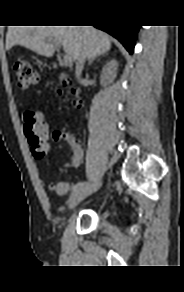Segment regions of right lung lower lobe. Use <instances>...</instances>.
Listing matches in <instances>:
<instances>
[{
    "mask_svg": "<svg viewBox=\"0 0 184 292\" xmlns=\"http://www.w3.org/2000/svg\"><path fill=\"white\" fill-rule=\"evenodd\" d=\"M95 27L111 34L112 36L117 38L130 53L133 52L135 40L137 38V32L140 26H119L101 24L95 25Z\"/></svg>",
    "mask_w": 184,
    "mask_h": 292,
    "instance_id": "98d812e1",
    "label": "right lung lower lobe"
}]
</instances>
